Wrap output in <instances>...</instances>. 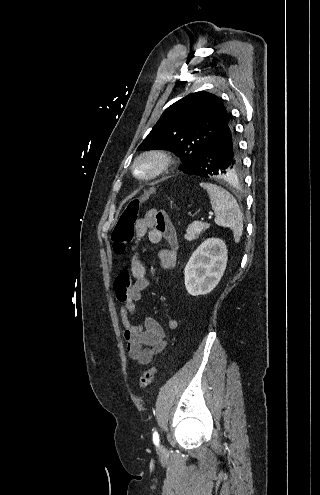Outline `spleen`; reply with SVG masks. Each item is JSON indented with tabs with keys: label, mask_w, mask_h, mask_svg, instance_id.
I'll return each instance as SVG.
<instances>
[{
	"label": "spleen",
	"mask_w": 320,
	"mask_h": 495,
	"mask_svg": "<svg viewBox=\"0 0 320 495\" xmlns=\"http://www.w3.org/2000/svg\"><path fill=\"white\" fill-rule=\"evenodd\" d=\"M200 186L209 194L215 213V224L230 228L233 231L235 243H239L243 231V220L236 199L228 191L217 185L200 183Z\"/></svg>",
	"instance_id": "3e777b00"
}]
</instances>
